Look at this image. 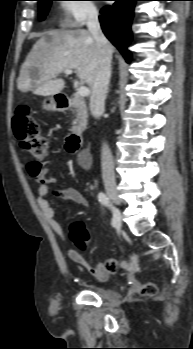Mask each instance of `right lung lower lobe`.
Wrapping results in <instances>:
<instances>
[{
  "mask_svg": "<svg viewBox=\"0 0 193 349\" xmlns=\"http://www.w3.org/2000/svg\"><path fill=\"white\" fill-rule=\"evenodd\" d=\"M139 0H115L113 6H106L99 16L106 37L119 49L127 61L131 53L127 47L131 41V21L135 2Z\"/></svg>",
  "mask_w": 193,
  "mask_h": 349,
  "instance_id": "right-lung-lower-lobe-1",
  "label": "right lung lower lobe"
}]
</instances>
